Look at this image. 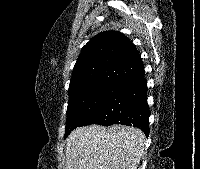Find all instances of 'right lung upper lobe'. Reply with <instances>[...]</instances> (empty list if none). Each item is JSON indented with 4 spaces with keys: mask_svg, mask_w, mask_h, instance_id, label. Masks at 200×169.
Segmentation results:
<instances>
[{
    "mask_svg": "<svg viewBox=\"0 0 200 169\" xmlns=\"http://www.w3.org/2000/svg\"><path fill=\"white\" fill-rule=\"evenodd\" d=\"M143 72L138 51L125 35L115 31L101 32L81 50L72 73L69 97L93 84L120 82Z\"/></svg>",
    "mask_w": 200,
    "mask_h": 169,
    "instance_id": "obj_1",
    "label": "right lung upper lobe"
}]
</instances>
